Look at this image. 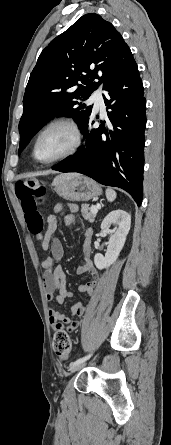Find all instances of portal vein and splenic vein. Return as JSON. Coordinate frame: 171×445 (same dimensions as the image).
Wrapping results in <instances>:
<instances>
[{"label":"portal vein and splenic vein","instance_id":"obj_1","mask_svg":"<svg viewBox=\"0 0 171 445\" xmlns=\"http://www.w3.org/2000/svg\"><path fill=\"white\" fill-rule=\"evenodd\" d=\"M91 212L94 213V214H96V213L98 212V206H95V205L92 206V207H91Z\"/></svg>","mask_w":171,"mask_h":445}]
</instances>
